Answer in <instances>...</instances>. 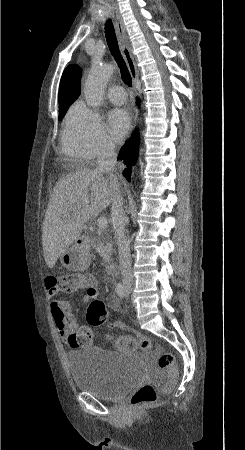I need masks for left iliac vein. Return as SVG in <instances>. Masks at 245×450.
Instances as JSON below:
<instances>
[{
  "label": "left iliac vein",
  "instance_id": "left-iliac-vein-1",
  "mask_svg": "<svg viewBox=\"0 0 245 450\" xmlns=\"http://www.w3.org/2000/svg\"><path fill=\"white\" fill-rule=\"evenodd\" d=\"M128 294H129V292H127V291H126V293H125V297H127V296H128Z\"/></svg>",
  "mask_w": 245,
  "mask_h": 450
}]
</instances>
